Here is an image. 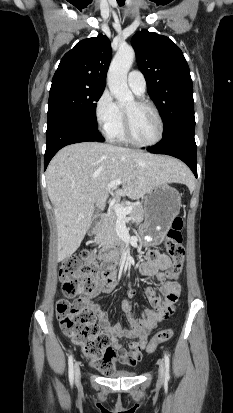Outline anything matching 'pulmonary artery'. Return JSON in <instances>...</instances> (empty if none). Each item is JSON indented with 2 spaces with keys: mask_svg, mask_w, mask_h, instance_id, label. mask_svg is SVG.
<instances>
[{
  "mask_svg": "<svg viewBox=\"0 0 233 413\" xmlns=\"http://www.w3.org/2000/svg\"><path fill=\"white\" fill-rule=\"evenodd\" d=\"M127 83L130 89L136 95H142L146 90V80L144 75L138 70H132L127 77Z\"/></svg>",
  "mask_w": 233,
  "mask_h": 413,
  "instance_id": "1",
  "label": "pulmonary artery"
}]
</instances>
